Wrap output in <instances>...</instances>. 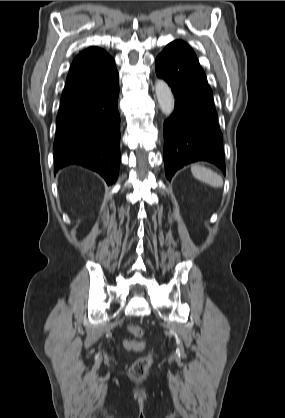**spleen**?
<instances>
[{
  "mask_svg": "<svg viewBox=\"0 0 285 418\" xmlns=\"http://www.w3.org/2000/svg\"><path fill=\"white\" fill-rule=\"evenodd\" d=\"M191 172L196 179L212 187L220 188L223 186L222 177L209 168L194 164L191 167Z\"/></svg>",
  "mask_w": 285,
  "mask_h": 418,
  "instance_id": "1",
  "label": "spleen"
}]
</instances>
